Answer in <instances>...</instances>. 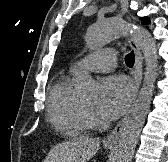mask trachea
Wrapping results in <instances>:
<instances>
[{
    "label": "trachea",
    "instance_id": "3493384b",
    "mask_svg": "<svg viewBox=\"0 0 168 162\" xmlns=\"http://www.w3.org/2000/svg\"><path fill=\"white\" fill-rule=\"evenodd\" d=\"M134 61H135V55L134 52L132 51L131 53L126 55L125 63L127 64V66L132 67L134 65Z\"/></svg>",
    "mask_w": 168,
    "mask_h": 162
}]
</instances>
